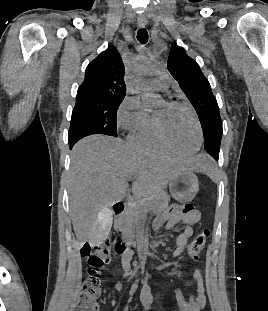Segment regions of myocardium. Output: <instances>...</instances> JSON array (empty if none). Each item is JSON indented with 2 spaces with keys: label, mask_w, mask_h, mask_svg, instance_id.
<instances>
[{
  "label": "myocardium",
  "mask_w": 268,
  "mask_h": 311,
  "mask_svg": "<svg viewBox=\"0 0 268 311\" xmlns=\"http://www.w3.org/2000/svg\"><path fill=\"white\" fill-rule=\"evenodd\" d=\"M166 104L169 107L184 109L191 114V116H192V118L196 124L197 131H198V143H197V146L195 147V149L193 151H190V152H184V151H181L178 148H176L168 140V138L164 132L163 125H162L160 117L157 114H155L154 115L155 127H156V132H157L159 139L161 140V142L164 144V146L167 149H169V150H171V151H173L179 155H182V156H193V155H195L200 150L202 143H203V130H202V126H201V123H200V120H199L197 114L195 113V111L191 107H189L188 105H186L184 103L178 102V101H168Z\"/></svg>",
  "instance_id": "obj_1"
}]
</instances>
